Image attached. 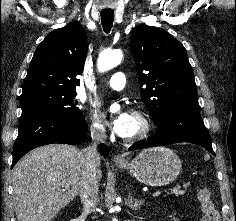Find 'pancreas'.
<instances>
[{
	"label": "pancreas",
	"mask_w": 236,
	"mask_h": 221,
	"mask_svg": "<svg viewBox=\"0 0 236 221\" xmlns=\"http://www.w3.org/2000/svg\"><path fill=\"white\" fill-rule=\"evenodd\" d=\"M184 190H181L180 187H175L174 190L172 191L173 194H175L176 196H179V195H183L184 194Z\"/></svg>",
	"instance_id": "1"
}]
</instances>
